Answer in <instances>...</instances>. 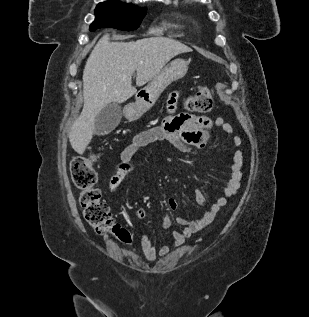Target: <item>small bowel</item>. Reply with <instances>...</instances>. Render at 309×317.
<instances>
[{"mask_svg": "<svg viewBox=\"0 0 309 317\" xmlns=\"http://www.w3.org/2000/svg\"><path fill=\"white\" fill-rule=\"evenodd\" d=\"M178 97V92H174L170 95L168 100V115L160 126L152 127L138 133L123 148L120 153L119 169L109 180L108 189L111 193L115 192L121 184L130 170L133 157L143 147L156 142L166 141L179 152L195 154L197 150H201L206 146V131L208 129L218 127L228 134L233 133L232 126L221 118L212 120L205 116L177 113L176 104ZM232 143L235 146L232 158L233 162L230 166V176L222 195L212 202L200 217L193 220H188L183 217H177L175 219L176 223L182 228L181 230L172 231V246L162 245L156 249L145 234L142 233L140 235V246L145 258L149 262L155 261L157 256L168 255L172 248L182 246L191 235L206 228L214 221L218 212L227 204L228 199L238 192L242 179L244 153L240 149L242 144L240 137L234 136ZM196 199L200 205H203L205 202L200 190L196 193ZM168 208L169 210H175L177 208V202L174 199H170L168 201ZM145 216L146 213L143 209L136 211L137 219L143 220ZM171 224L172 220L170 216L166 214L163 217L162 225L164 228H169Z\"/></svg>", "mask_w": 309, "mask_h": 317, "instance_id": "c3829d8e", "label": "small bowel"}]
</instances>
